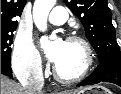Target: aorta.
I'll list each match as a JSON object with an SVG mask.
<instances>
[{
  "instance_id": "obj_1",
  "label": "aorta",
  "mask_w": 121,
  "mask_h": 94,
  "mask_svg": "<svg viewBox=\"0 0 121 94\" xmlns=\"http://www.w3.org/2000/svg\"><path fill=\"white\" fill-rule=\"evenodd\" d=\"M55 3L56 0H35L33 6V20L40 31L44 32L46 30L49 12Z\"/></svg>"
}]
</instances>
